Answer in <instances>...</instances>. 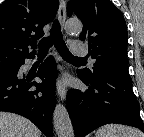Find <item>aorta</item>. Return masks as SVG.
Here are the masks:
<instances>
[{"label": "aorta", "mask_w": 144, "mask_h": 137, "mask_svg": "<svg viewBox=\"0 0 144 137\" xmlns=\"http://www.w3.org/2000/svg\"><path fill=\"white\" fill-rule=\"evenodd\" d=\"M65 28L68 32H78L82 29V23L79 20H68ZM53 124L57 137H74L70 116L61 103H57L54 109Z\"/></svg>", "instance_id": "1"}]
</instances>
